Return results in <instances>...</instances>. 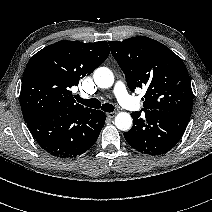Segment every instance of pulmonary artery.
I'll return each instance as SVG.
<instances>
[{
	"label": "pulmonary artery",
	"mask_w": 212,
	"mask_h": 212,
	"mask_svg": "<svg viewBox=\"0 0 212 212\" xmlns=\"http://www.w3.org/2000/svg\"><path fill=\"white\" fill-rule=\"evenodd\" d=\"M113 94L117 98L118 102L126 109L135 110L139 107V104L135 99L129 95L123 82L118 81L114 88Z\"/></svg>",
	"instance_id": "1"
}]
</instances>
